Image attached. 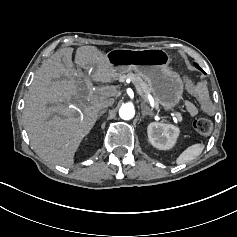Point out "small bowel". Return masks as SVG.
Masks as SVG:
<instances>
[{"label": "small bowel", "mask_w": 237, "mask_h": 237, "mask_svg": "<svg viewBox=\"0 0 237 237\" xmlns=\"http://www.w3.org/2000/svg\"><path fill=\"white\" fill-rule=\"evenodd\" d=\"M198 86L201 87V88H203V89H205L206 92H207L205 82H200V83H198ZM184 106H185V109L187 110V112H188L191 116H195V115L197 114V108H196V106H195L193 103H191V102H189V101H186V102L184 103Z\"/></svg>", "instance_id": "small-bowel-1"}]
</instances>
